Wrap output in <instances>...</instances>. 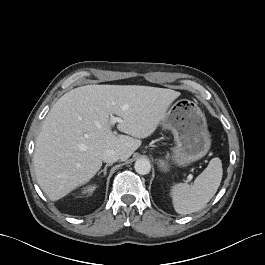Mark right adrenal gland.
Masks as SVG:
<instances>
[{"label": "right adrenal gland", "instance_id": "2a0ac1e0", "mask_svg": "<svg viewBox=\"0 0 265 265\" xmlns=\"http://www.w3.org/2000/svg\"><path fill=\"white\" fill-rule=\"evenodd\" d=\"M109 166H111V164H106L105 167H104V169H102V170H100V171L98 172V175H100V174L103 172V177H105V175L107 174V168H108Z\"/></svg>", "mask_w": 265, "mask_h": 265}]
</instances>
